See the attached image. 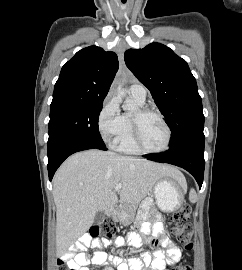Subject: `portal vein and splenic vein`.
<instances>
[{
  "instance_id": "obj_1",
  "label": "portal vein and splenic vein",
  "mask_w": 242,
  "mask_h": 270,
  "mask_svg": "<svg viewBox=\"0 0 242 270\" xmlns=\"http://www.w3.org/2000/svg\"><path fill=\"white\" fill-rule=\"evenodd\" d=\"M121 188H122V184L119 183V184H117V185L115 186L114 190H115V191H119Z\"/></svg>"
}]
</instances>
